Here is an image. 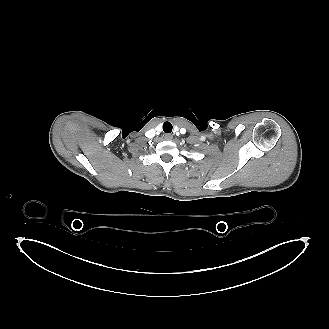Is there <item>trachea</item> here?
<instances>
[{"mask_svg": "<svg viewBox=\"0 0 329 329\" xmlns=\"http://www.w3.org/2000/svg\"><path fill=\"white\" fill-rule=\"evenodd\" d=\"M172 124L170 123V122H165L164 124H163V131L165 132V133H171V131H172Z\"/></svg>", "mask_w": 329, "mask_h": 329, "instance_id": "1", "label": "trachea"}]
</instances>
